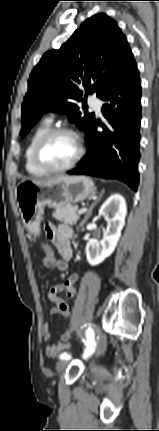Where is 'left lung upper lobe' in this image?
<instances>
[{
    "instance_id": "left-lung-upper-lobe-1",
    "label": "left lung upper lobe",
    "mask_w": 159,
    "mask_h": 431,
    "mask_svg": "<svg viewBox=\"0 0 159 431\" xmlns=\"http://www.w3.org/2000/svg\"><path fill=\"white\" fill-rule=\"evenodd\" d=\"M134 61L117 23L105 14L86 20L59 49L46 52L34 67L22 104L21 136H25L46 111L66 114L85 133L94 114L82 116L77 102L87 93L100 99Z\"/></svg>"
}]
</instances>
